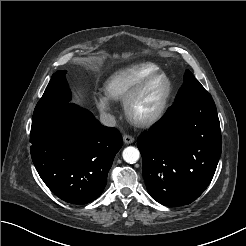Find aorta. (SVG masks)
<instances>
[{
  "instance_id": "aorta-1",
  "label": "aorta",
  "mask_w": 246,
  "mask_h": 246,
  "mask_svg": "<svg viewBox=\"0 0 246 246\" xmlns=\"http://www.w3.org/2000/svg\"><path fill=\"white\" fill-rule=\"evenodd\" d=\"M122 156L125 162L129 164H134L138 161L140 157V152L137 148L129 146L123 150Z\"/></svg>"
}]
</instances>
